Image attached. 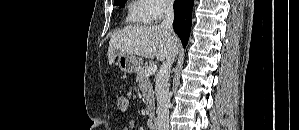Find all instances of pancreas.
I'll return each instance as SVG.
<instances>
[{
    "label": "pancreas",
    "instance_id": "1",
    "mask_svg": "<svg viewBox=\"0 0 299 130\" xmlns=\"http://www.w3.org/2000/svg\"><path fill=\"white\" fill-rule=\"evenodd\" d=\"M146 70L147 67L143 66L137 71L136 82L143 94L144 102L146 104V114L152 116L155 110V98L150 79L145 75Z\"/></svg>",
    "mask_w": 299,
    "mask_h": 130
}]
</instances>
